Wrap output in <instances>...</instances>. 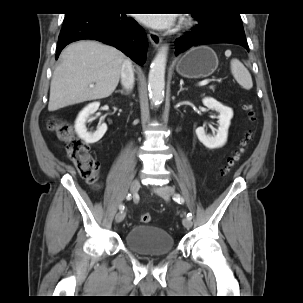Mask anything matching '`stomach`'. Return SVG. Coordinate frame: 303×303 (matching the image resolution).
Segmentation results:
<instances>
[{"label":"stomach","mask_w":303,"mask_h":303,"mask_svg":"<svg viewBox=\"0 0 303 303\" xmlns=\"http://www.w3.org/2000/svg\"><path fill=\"white\" fill-rule=\"evenodd\" d=\"M218 67L216 53L208 46H198L187 51L177 62L176 71L186 78H205Z\"/></svg>","instance_id":"obj_1"}]
</instances>
